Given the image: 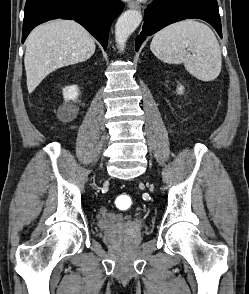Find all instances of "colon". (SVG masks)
<instances>
[{
    "instance_id": "5ec220e1",
    "label": "colon",
    "mask_w": 249,
    "mask_h": 294,
    "mask_svg": "<svg viewBox=\"0 0 249 294\" xmlns=\"http://www.w3.org/2000/svg\"><path fill=\"white\" fill-rule=\"evenodd\" d=\"M116 205L121 209H128L133 205V200L126 195L118 196L116 199Z\"/></svg>"
}]
</instances>
